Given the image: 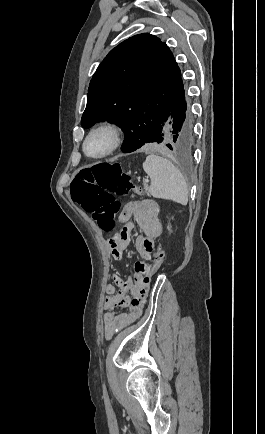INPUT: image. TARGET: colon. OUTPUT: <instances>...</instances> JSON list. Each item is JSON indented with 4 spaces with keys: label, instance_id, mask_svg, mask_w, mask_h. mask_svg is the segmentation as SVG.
Instances as JSON below:
<instances>
[{
    "label": "colon",
    "instance_id": "colon-1",
    "mask_svg": "<svg viewBox=\"0 0 265 434\" xmlns=\"http://www.w3.org/2000/svg\"><path fill=\"white\" fill-rule=\"evenodd\" d=\"M80 171L74 173L69 202H79L85 211L92 213L103 232L113 231L115 217L121 209L115 195L126 196L132 191L140 190L128 173L119 165L110 164V161L107 164H85ZM165 259L166 253L160 247L154 259L148 263L145 277L138 279L143 286H147L151 280L148 276L149 269H159Z\"/></svg>",
    "mask_w": 265,
    "mask_h": 434
}]
</instances>
